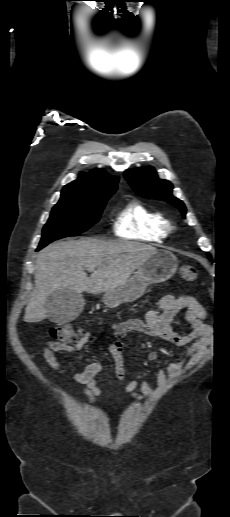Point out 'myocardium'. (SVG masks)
<instances>
[{
  "instance_id": "1",
  "label": "myocardium",
  "mask_w": 230,
  "mask_h": 517,
  "mask_svg": "<svg viewBox=\"0 0 230 517\" xmlns=\"http://www.w3.org/2000/svg\"><path fill=\"white\" fill-rule=\"evenodd\" d=\"M167 229H168V231H170V230H172V229H173V226H172L170 223H168V224H167Z\"/></svg>"
}]
</instances>
